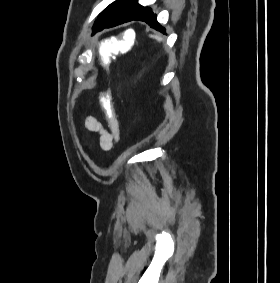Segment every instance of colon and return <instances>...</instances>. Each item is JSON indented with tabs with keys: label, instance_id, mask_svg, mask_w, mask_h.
<instances>
[{
	"label": "colon",
	"instance_id": "1",
	"mask_svg": "<svg viewBox=\"0 0 280 283\" xmlns=\"http://www.w3.org/2000/svg\"><path fill=\"white\" fill-rule=\"evenodd\" d=\"M122 37H106L104 46L100 48L101 64L108 66L110 64L109 55H127L136 42V32H133L131 25L123 26ZM101 104L104 108L107 121L113 126V133L118 140L120 131L117 126V117L113 106L111 95L108 91H102L100 94Z\"/></svg>",
	"mask_w": 280,
	"mask_h": 283
}]
</instances>
